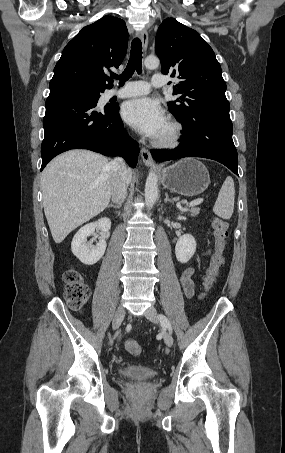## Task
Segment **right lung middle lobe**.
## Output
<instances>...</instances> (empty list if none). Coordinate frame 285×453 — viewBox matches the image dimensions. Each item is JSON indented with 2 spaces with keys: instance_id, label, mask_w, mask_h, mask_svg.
Masks as SVG:
<instances>
[{
  "instance_id": "right-lung-middle-lobe-1",
  "label": "right lung middle lobe",
  "mask_w": 285,
  "mask_h": 453,
  "mask_svg": "<svg viewBox=\"0 0 285 453\" xmlns=\"http://www.w3.org/2000/svg\"><path fill=\"white\" fill-rule=\"evenodd\" d=\"M82 92H83V95H84L88 100H90L91 102H93L95 105L97 104L98 99H99V97H100V93L88 92V91H82Z\"/></svg>"
}]
</instances>
